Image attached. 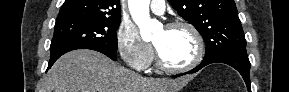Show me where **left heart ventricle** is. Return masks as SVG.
<instances>
[{"label": "left heart ventricle", "mask_w": 289, "mask_h": 92, "mask_svg": "<svg viewBox=\"0 0 289 92\" xmlns=\"http://www.w3.org/2000/svg\"><path fill=\"white\" fill-rule=\"evenodd\" d=\"M153 41L161 57L169 65L184 66L195 57L196 43L187 29H161Z\"/></svg>", "instance_id": "left-heart-ventricle-1"}]
</instances>
